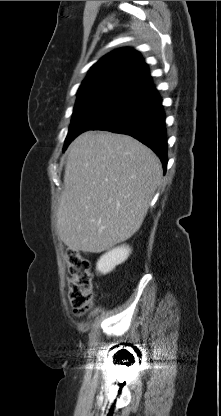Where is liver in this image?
Returning a JSON list of instances; mask_svg holds the SVG:
<instances>
[{
	"mask_svg": "<svg viewBox=\"0 0 221 416\" xmlns=\"http://www.w3.org/2000/svg\"><path fill=\"white\" fill-rule=\"evenodd\" d=\"M162 178L160 160L135 138L89 131L69 146L57 233L73 251L100 253L141 227Z\"/></svg>",
	"mask_w": 221,
	"mask_h": 416,
	"instance_id": "obj_1",
	"label": "liver"
}]
</instances>
